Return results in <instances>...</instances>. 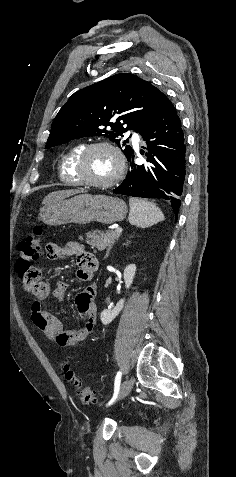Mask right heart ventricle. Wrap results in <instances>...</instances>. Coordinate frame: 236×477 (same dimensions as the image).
I'll list each match as a JSON object with an SVG mask.
<instances>
[{
	"label": "right heart ventricle",
	"instance_id": "1",
	"mask_svg": "<svg viewBox=\"0 0 236 477\" xmlns=\"http://www.w3.org/2000/svg\"><path fill=\"white\" fill-rule=\"evenodd\" d=\"M83 149L82 144L75 145L68 149L61 157L58 175L61 181L69 185H80L78 178L74 172V164L76 157Z\"/></svg>",
	"mask_w": 236,
	"mask_h": 477
}]
</instances>
